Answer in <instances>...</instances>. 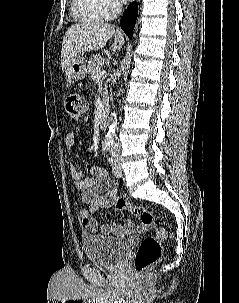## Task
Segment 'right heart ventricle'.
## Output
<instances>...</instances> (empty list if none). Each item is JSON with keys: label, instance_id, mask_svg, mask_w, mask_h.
<instances>
[{"label": "right heart ventricle", "instance_id": "e07e8e85", "mask_svg": "<svg viewBox=\"0 0 239 303\" xmlns=\"http://www.w3.org/2000/svg\"><path fill=\"white\" fill-rule=\"evenodd\" d=\"M72 14L82 22H94L104 19L97 11L94 0H72Z\"/></svg>", "mask_w": 239, "mask_h": 303}]
</instances>
